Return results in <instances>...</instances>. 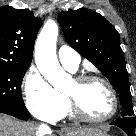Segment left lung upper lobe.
I'll return each mask as SVG.
<instances>
[{"instance_id":"1","label":"left lung upper lobe","mask_w":136,"mask_h":136,"mask_svg":"<svg viewBox=\"0 0 136 136\" xmlns=\"http://www.w3.org/2000/svg\"><path fill=\"white\" fill-rule=\"evenodd\" d=\"M67 42L109 79L122 106L121 117L133 116L128 73L119 33L99 13L89 9L68 10L58 15Z\"/></svg>"}]
</instances>
